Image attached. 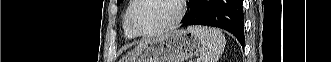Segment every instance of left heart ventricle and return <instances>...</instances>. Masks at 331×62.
Listing matches in <instances>:
<instances>
[{
	"label": "left heart ventricle",
	"mask_w": 331,
	"mask_h": 62,
	"mask_svg": "<svg viewBox=\"0 0 331 62\" xmlns=\"http://www.w3.org/2000/svg\"><path fill=\"white\" fill-rule=\"evenodd\" d=\"M177 12L173 0H143L134 13V21L141 31H152L173 21Z\"/></svg>",
	"instance_id": "left-heart-ventricle-1"
}]
</instances>
